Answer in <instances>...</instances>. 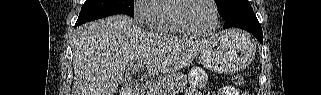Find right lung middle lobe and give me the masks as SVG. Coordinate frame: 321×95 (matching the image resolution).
Returning <instances> with one entry per match:
<instances>
[{
    "label": "right lung middle lobe",
    "mask_w": 321,
    "mask_h": 95,
    "mask_svg": "<svg viewBox=\"0 0 321 95\" xmlns=\"http://www.w3.org/2000/svg\"><path fill=\"white\" fill-rule=\"evenodd\" d=\"M115 14L134 17V0H86L76 24L81 25Z\"/></svg>",
    "instance_id": "obj_1"
}]
</instances>
